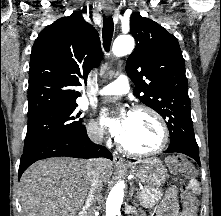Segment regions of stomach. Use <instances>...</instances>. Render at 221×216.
<instances>
[{"label":"stomach","instance_id":"obj_1","mask_svg":"<svg viewBox=\"0 0 221 216\" xmlns=\"http://www.w3.org/2000/svg\"><path fill=\"white\" fill-rule=\"evenodd\" d=\"M129 172L136 176L146 187H159L167 177V169L162 161L156 158L148 159L138 166H130Z\"/></svg>","mask_w":221,"mask_h":216}]
</instances>
